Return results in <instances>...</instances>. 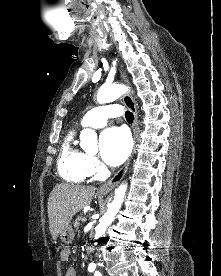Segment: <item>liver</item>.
Returning <instances> with one entry per match:
<instances>
[{
	"label": "liver",
	"instance_id": "liver-1",
	"mask_svg": "<svg viewBox=\"0 0 221 276\" xmlns=\"http://www.w3.org/2000/svg\"><path fill=\"white\" fill-rule=\"evenodd\" d=\"M95 191V187L66 183L54 187L47 206L49 229L54 240L69 226L78 211L90 205Z\"/></svg>",
	"mask_w": 221,
	"mask_h": 276
}]
</instances>
